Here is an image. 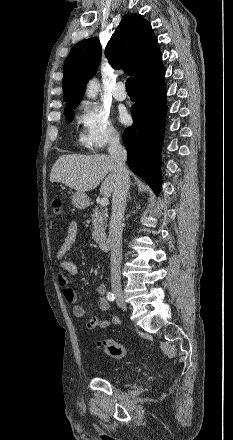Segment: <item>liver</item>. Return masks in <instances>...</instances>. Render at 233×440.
Wrapping results in <instances>:
<instances>
[{
  "instance_id": "6515ba94",
  "label": "liver",
  "mask_w": 233,
  "mask_h": 440,
  "mask_svg": "<svg viewBox=\"0 0 233 440\" xmlns=\"http://www.w3.org/2000/svg\"><path fill=\"white\" fill-rule=\"evenodd\" d=\"M130 172L128 171V175ZM117 173L110 155H62L54 163L51 182H61L79 192L95 189L100 182V193L110 196L113 193Z\"/></svg>"
}]
</instances>
